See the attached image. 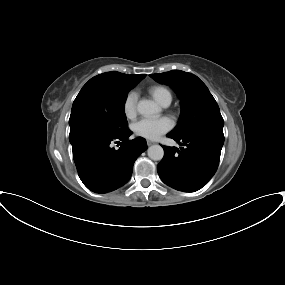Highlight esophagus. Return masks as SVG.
<instances>
[{"mask_svg": "<svg viewBox=\"0 0 285 285\" xmlns=\"http://www.w3.org/2000/svg\"><path fill=\"white\" fill-rule=\"evenodd\" d=\"M152 144H154V142H153V141H151V140H147V145H148V146H151Z\"/></svg>", "mask_w": 285, "mask_h": 285, "instance_id": "1", "label": "esophagus"}]
</instances>
